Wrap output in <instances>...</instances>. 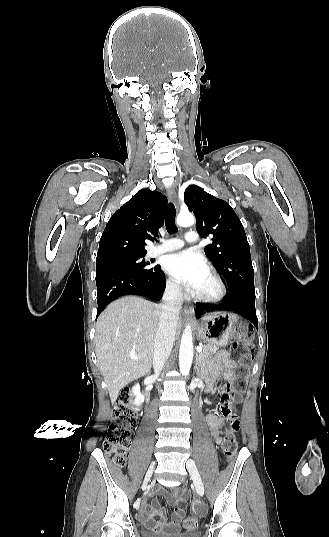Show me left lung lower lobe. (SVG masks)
<instances>
[{
    "mask_svg": "<svg viewBox=\"0 0 329 537\" xmlns=\"http://www.w3.org/2000/svg\"><path fill=\"white\" fill-rule=\"evenodd\" d=\"M215 311H229L240 314L254 326H258L255 309V292L253 291H238L234 294H229L218 305L210 303L197 304V312L199 314Z\"/></svg>",
    "mask_w": 329,
    "mask_h": 537,
    "instance_id": "0a47b994",
    "label": "left lung lower lobe"
}]
</instances>
